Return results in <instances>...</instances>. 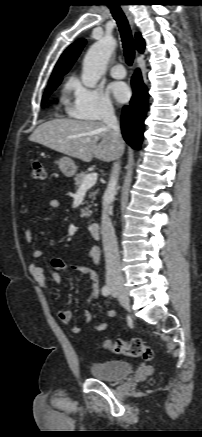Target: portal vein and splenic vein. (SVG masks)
<instances>
[{
  "label": "portal vein and splenic vein",
  "mask_w": 202,
  "mask_h": 437,
  "mask_svg": "<svg viewBox=\"0 0 202 437\" xmlns=\"http://www.w3.org/2000/svg\"><path fill=\"white\" fill-rule=\"evenodd\" d=\"M96 181H97V174L96 173L88 174L84 178L83 183L80 186L79 190H87V189L91 188L93 185H95Z\"/></svg>",
  "instance_id": "1"
}]
</instances>
